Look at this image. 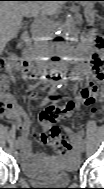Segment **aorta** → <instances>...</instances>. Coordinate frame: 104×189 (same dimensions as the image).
Instances as JSON below:
<instances>
[{
	"label": "aorta",
	"mask_w": 104,
	"mask_h": 189,
	"mask_svg": "<svg viewBox=\"0 0 104 189\" xmlns=\"http://www.w3.org/2000/svg\"><path fill=\"white\" fill-rule=\"evenodd\" d=\"M70 16H67L65 23L61 26V33L57 35L56 50L60 57V61L55 64V82H64L66 72V63L64 59L69 55V47L66 43L68 36V31L70 28L69 24Z\"/></svg>",
	"instance_id": "aorta-1"
}]
</instances>
